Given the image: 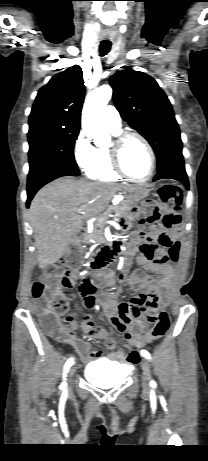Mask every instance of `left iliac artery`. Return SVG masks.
Instances as JSON below:
<instances>
[{
	"instance_id": "1",
	"label": "left iliac artery",
	"mask_w": 208,
	"mask_h": 461,
	"mask_svg": "<svg viewBox=\"0 0 208 461\" xmlns=\"http://www.w3.org/2000/svg\"><path fill=\"white\" fill-rule=\"evenodd\" d=\"M141 354H142V356H144V357L147 358V359H150V358H151L149 352L146 351V350H142V351H141ZM151 384L154 385L155 382H154V381H151Z\"/></svg>"
}]
</instances>
